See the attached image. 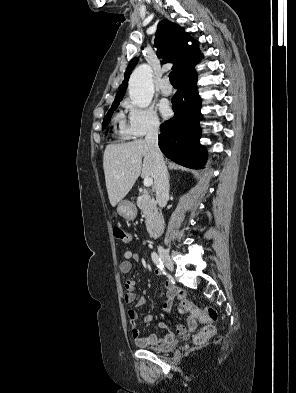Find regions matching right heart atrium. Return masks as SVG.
I'll list each match as a JSON object with an SVG mask.
<instances>
[{"mask_svg": "<svg viewBox=\"0 0 296 393\" xmlns=\"http://www.w3.org/2000/svg\"><path fill=\"white\" fill-rule=\"evenodd\" d=\"M125 106L128 110V131L130 136L141 138L153 134L160 129V120L153 107L137 106L127 101Z\"/></svg>", "mask_w": 296, "mask_h": 393, "instance_id": "1", "label": "right heart atrium"}]
</instances>
